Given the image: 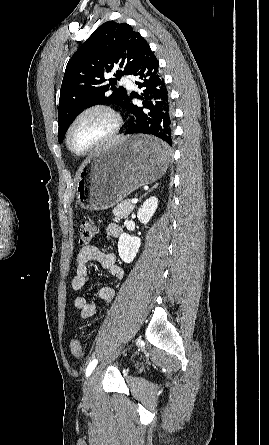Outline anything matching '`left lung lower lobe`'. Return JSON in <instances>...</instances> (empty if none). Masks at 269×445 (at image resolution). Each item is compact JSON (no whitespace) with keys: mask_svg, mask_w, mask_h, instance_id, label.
Returning <instances> with one entry per match:
<instances>
[{"mask_svg":"<svg viewBox=\"0 0 269 445\" xmlns=\"http://www.w3.org/2000/svg\"><path fill=\"white\" fill-rule=\"evenodd\" d=\"M159 62L148 47L141 60L133 70L135 84L142 89L141 94L128 96L124 108L131 114V119L125 134H147L155 137L154 143L144 146L151 156L168 153L172 146L173 110L164 79L158 73ZM137 97L143 101L137 106L131 99Z\"/></svg>","mask_w":269,"mask_h":445,"instance_id":"obj_1","label":"left lung lower lobe"}]
</instances>
